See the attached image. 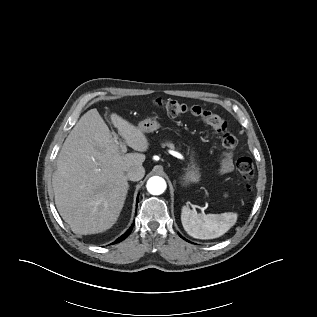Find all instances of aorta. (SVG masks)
I'll use <instances>...</instances> for the list:
<instances>
[{"label":"aorta","instance_id":"aorta-1","mask_svg":"<svg viewBox=\"0 0 317 317\" xmlns=\"http://www.w3.org/2000/svg\"><path fill=\"white\" fill-rule=\"evenodd\" d=\"M147 191L152 195H160L166 190V182L162 177L152 176L147 181Z\"/></svg>","mask_w":317,"mask_h":317}]
</instances>
